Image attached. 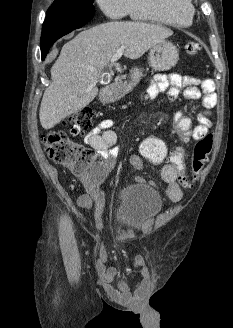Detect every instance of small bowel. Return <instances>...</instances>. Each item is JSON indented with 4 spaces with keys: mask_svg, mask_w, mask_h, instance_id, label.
<instances>
[{
    "mask_svg": "<svg viewBox=\"0 0 233 328\" xmlns=\"http://www.w3.org/2000/svg\"><path fill=\"white\" fill-rule=\"evenodd\" d=\"M215 85L211 79L196 76H181L178 74L157 75L146 91V99H155L160 93H166L169 100H174L183 90V96L187 100H197L202 98L203 109L198 112V124L193 128L192 138L199 140L208 134L211 127L210 110L216 104ZM113 121L104 119L100 121L86 136L85 143L96 150L103 159V172L100 178L84 181L87 194L81 195L77 199V204L83 209L95 210V219L101 222L105 207V193L101 187V180L107 172L113 169L118 148L115 147L117 136L112 130ZM131 164L138 170L143 169L141 159L134 155L130 158ZM161 176L166 183V194L171 201H179L183 192L179 182V174L175 167L167 163L161 170ZM136 181L143 183L141 176L136 177ZM134 270L139 274L140 279L135 289L131 290L124 280L115 281L116 269L108 265V257L102 256L98 264V273L102 287L106 293L116 302L134 303L142 300L150 288V275L148 268L142 257L136 256L133 259Z\"/></svg>",
    "mask_w": 233,
    "mask_h": 328,
    "instance_id": "obj_1",
    "label": "small bowel"
}]
</instances>
